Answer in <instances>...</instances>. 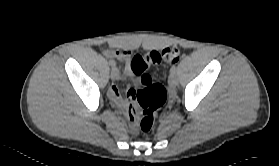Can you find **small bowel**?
I'll return each instance as SVG.
<instances>
[{
    "label": "small bowel",
    "instance_id": "obj_1",
    "mask_svg": "<svg viewBox=\"0 0 279 166\" xmlns=\"http://www.w3.org/2000/svg\"><path fill=\"white\" fill-rule=\"evenodd\" d=\"M104 54L107 57L117 59L119 61H125L127 62V68H126V73L128 75H132V71L129 65V60L131 57V51L125 50V51H119V50H114V49H105ZM135 94L134 89L129 87L127 89V96L129 98V101H125L122 98L121 92L118 88L117 85H112L108 91V95L111 99V101L119 108H122L126 111L127 116L132 123L133 129H135V121H136V114L134 115L133 109H134V103H133V95Z\"/></svg>",
    "mask_w": 279,
    "mask_h": 166
}]
</instances>
